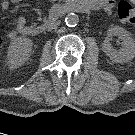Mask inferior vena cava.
Here are the masks:
<instances>
[{
	"label": "inferior vena cava",
	"instance_id": "1",
	"mask_svg": "<svg viewBox=\"0 0 135 135\" xmlns=\"http://www.w3.org/2000/svg\"><path fill=\"white\" fill-rule=\"evenodd\" d=\"M60 25L59 20L52 21L47 25L48 30L56 29Z\"/></svg>",
	"mask_w": 135,
	"mask_h": 135
}]
</instances>
